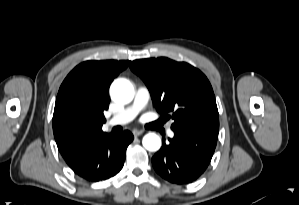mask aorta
Wrapping results in <instances>:
<instances>
[{
    "label": "aorta",
    "mask_w": 299,
    "mask_h": 205,
    "mask_svg": "<svg viewBox=\"0 0 299 205\" xmlns=\"http://www.w3.org/2000/svg\"><path fill=\"white\" fill-rule=\"evenodd\" d=\"M111 98L118 103H129L134 97V88L127 79H117L110 87ZM142 144L148 151H157L161 147V139L155 133L143 137Z\"/></svg>",
    "instance_id": "1"
}]
</instances>
